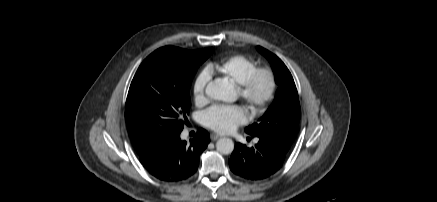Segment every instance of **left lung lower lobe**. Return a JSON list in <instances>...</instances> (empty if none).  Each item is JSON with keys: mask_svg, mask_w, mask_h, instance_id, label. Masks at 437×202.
<instances>
[{"mask_svg": "<svg viewBox=\"0 0 437 202\" xmlns=\"http://www.w3.org/2000/svg\"><path fill=\"white\" fill-rule=\"evenodd\" d=\"M286 154L287 152L276 144L258 137V143L251 148L236 143L229 159V165L236 175L244 179L258 181L278 171Z\"/></svg>", "mask_w": 437, "mask_h": 202, "instance_id": "0a47b994", "label": "left lung lower lobe"}]
</instances>
